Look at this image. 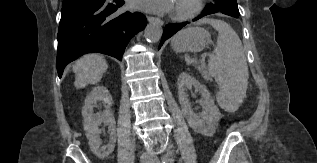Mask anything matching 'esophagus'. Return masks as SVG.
Wrapping results in <instances>:
<instances>
[{"label":"esophagus","instance_id":"obj_1","mask_svg":"<svg viewBox=\"0 0 317 163\" xmlns=\"http://www.w3.org/2000/svg\"><path fill=\"white\" fill-rule=\"evenodd\" d=\"M147 20L150 23L152 22V23H157V24H159L161 26L163 25V21L161 19L157 18V17L147 16Z\"/></svg>","mask_w":317,"mask_h":163}]
</instances>
